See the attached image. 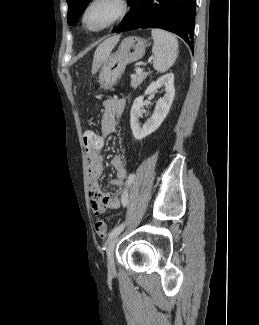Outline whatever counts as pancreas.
I'll use <instances>...</instances> for the list:
<instances>
[{"mask_svg": "<svg viewBox=\"0 0 259 325\" xmlns=\"http://www.w3.org/2000/svg\"><path fill=\"white\" fill-rule=\"evenodd\" d=\"M148 73L141 72L131 75V86L132 88H137L147 77Z\"/></svg>", "mask_w": 259, "mask_h": 325, "instance_id": "pancreas-1", "label": "pancreas"}]
</instances>
